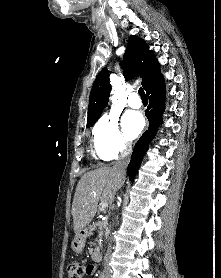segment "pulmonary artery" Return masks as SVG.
<instances>
[{
    "label": "pulmonary artery",
    "mask_w": 221,
    "mask_h": 278,
    "mask_svg": "<svg viewBox=\"0 0 221 278\" xmlns=\"http://www.w3.org/2000/svg\"><path fill=\"white\" fill-rule=\"evenodd\" d=\"M128 105L131 108L139 109L142 106V102L137 93L133 92L129 95L127 100Z\"/></svg>",
    "instance_id": "pulmonary-artery-1"
}]
</instances>
